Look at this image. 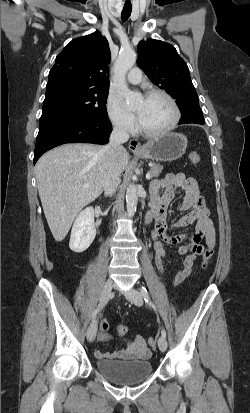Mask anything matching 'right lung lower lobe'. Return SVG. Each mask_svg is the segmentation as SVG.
I'll list each match as a JSON object with an SVG mask.
<instances>
[{
	"mask_svg": "<svg viewBox=\"0 0 250 413\" xmlns=\"http://www.w3.org/2000/svg\"><path fill=\"white\" fill-rule=\"evenodd\" d=\"M112 125L108 118H63L39 128L34 164L46 151L65 143H108Z\"/></svg>",
	"mask_w": 250,
	"mask_h": 413,
	"instance_id": "right-lung-lower-lobe-1",
	"label": "right lung lower lobe"
}]
</instances>
